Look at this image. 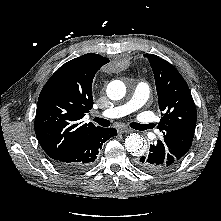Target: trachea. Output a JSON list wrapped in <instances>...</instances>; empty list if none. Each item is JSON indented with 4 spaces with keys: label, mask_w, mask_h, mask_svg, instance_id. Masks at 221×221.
Wrapping results in <instances>:
<instances>
[{
    "label": "trachea",
    "mask_w": 221,
    "mask_h": 221,
    "mask_svg": "<svg viewBox=\"0 0 221 221\" xmlns=\"http://www.w3.org/2000/svg\"><path fill=\"white\" fill-rule=\"evenodd\" d=\"M94 121L97 122L99 125L104 126V127L110 126V121L107 120V119H102V118L96 117V118H94ZM131 126L134 129H137V130H145V129L148 128V126L141 125V124H138V123H132Z\"/></svg>",
    "instance_id": "1"
}]
</instances>
